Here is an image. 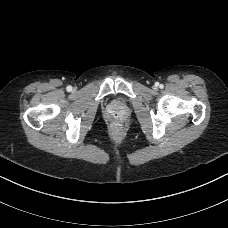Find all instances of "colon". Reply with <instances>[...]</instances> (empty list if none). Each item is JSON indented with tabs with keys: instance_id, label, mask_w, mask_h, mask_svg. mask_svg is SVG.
<instances>
[{
	"instance_id": "colon-1",
	"label": "colon",
	"mask_w": 228,
	"mask_h": 228,
	"mask_svg": "<svg viewBox=\"0 0 228 228\" xmlns=\"http://www.w3.org/2000/svg\"><path fill=\"white\" fill-rule=\"evenodd\" d=\"M114 131H115V133H119V127L116 125L115 127H114Z\"/></svg>"
}]
</instances>
